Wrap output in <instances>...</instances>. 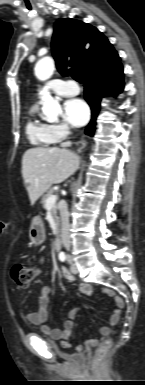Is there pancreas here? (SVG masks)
I'll list each match as a JSON object with an SVG mask.
<instances>
[{"label": "pancreas", "instance_id": "cf45deb5", "mask_svg": "<svg viewBox=\"0 0 145 385\" xmlns=\"http://www.w3.org/2000/svg\"><path fill=\"white\" fill-rule=\"evenodd\" d=\"M53 190L50 189L48 190V192L42 197V204H43V207L46 208V201L47 199L53 194ZM51 213L56 221V224L58 225V217H57V205H53L52 206V209H51Z\"/></svg>", "mask_w": 145, "mask_h": 385}]
</instances>
